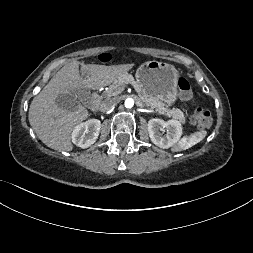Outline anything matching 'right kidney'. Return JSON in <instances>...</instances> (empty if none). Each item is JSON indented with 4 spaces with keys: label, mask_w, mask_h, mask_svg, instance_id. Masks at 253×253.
I'll return each mask as SVG.
<instances>
[{
    "label": "right kidney",
    "mask_w": 253,
    "mask_h": 253,
    "mask_svg": "<svg viewBox=\"0 0 253 253\" xmlns=\"http://www.w3.org/2000/svg\"><path fill=\"white\" fill-rule=\"evenodd\" d=\"M101 122L98 119H90L75 127L72 132V142L80 148H88L95 143L99 136Z\"/></svg>",
    "instance_id": "right-kidney-1"
}]
</instances>
